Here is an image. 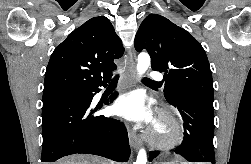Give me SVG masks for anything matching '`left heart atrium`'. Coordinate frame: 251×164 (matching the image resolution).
<instances>
[{
  "instance_id": "obj_1",
  "label": "left heart atrium",
  "mask_w": 251,
  "mask_h": 164,
  "mask_svg": "<svg viewBox=\"0 0 251 164\" xmlns=\"http://www.w3.org/2000/svg\"><path fill=\"white\" fill-rule=\"evenodd\" d=\"M117 114L133 121L155 124L154 114L144 98L138 93L122 95L115 104Z\"/></svg>"
}]
</instances>
